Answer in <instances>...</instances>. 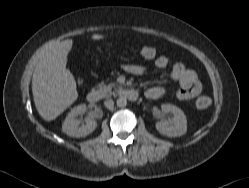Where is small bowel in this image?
<instances>
[{
  "label": "small bowel",
  "mask_w": 249,
  "mask_h": 188,
  "mask_svg": "<svg viewBox=\"0 0 249 188\" xmlns=\"http://www.w3.org/2000/svg\"><path fill=\"white\" fill-rule=\"evenodd\" d=\"M169 64V59L161 55L155 60L157 68H166ZM124 70L134 76L145 75L148 69L142 65L127 64L124 65ZM171 79L178 83L179 90L177 91V98L185 101L197 97L202 90V85L195 71L186 68L181 63H176L171 70ZM166 93V89L162 86H154L146 91V97L152 100L158 99Z\"/></svg>",
  "instance_id": "obj_1"
}]
</instances>
